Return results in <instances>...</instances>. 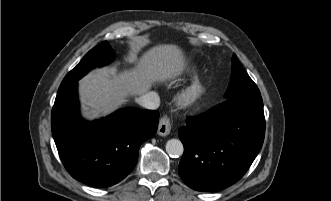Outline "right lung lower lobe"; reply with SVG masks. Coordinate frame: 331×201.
<instances>
[{
  "label": "right lung lower lobe",
  "mask_w": 331,
  "mask_h": 201,
  "mask_svg": "<svg viewBox=\"0 0 331 201\" xmlns=\"http://www.w3.org/2000/svg\"><path fill=\"white\" fill-rule=\"evenodd\" d=\"M159 113L125 108L105 119L79 115L77 82L60 89L52 109V134L69 174L94 187H109L135 167L140 145L157 130Z\"/></svg>",
  "instance_id": "obj_1"
}]
</instances>
